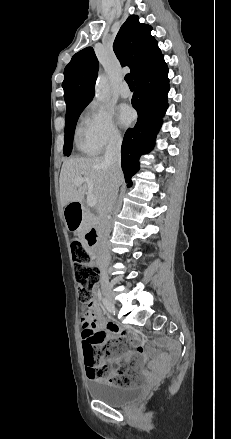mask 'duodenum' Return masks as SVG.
<instances>
[{
    "instance_id": "1",
    "label": "duodenum",
    "mask_w": 231,
    "mask_h": 439,
    "mask_svg": "<svg viewBox=\"0 0 231 439\" xmlns=\"http://www.w3.org/2000/svg\"><path fill=\"white\" fill-rule=\"evenodd\" d=\"M81 206H82L81 201H77L69 204L66 208V210L69 213L68 216L77 217L81 211ZM84 242L89 248L94 249L97 243V232L95 229H91L85 234Z\"/></svg>"
}]
</instances>
